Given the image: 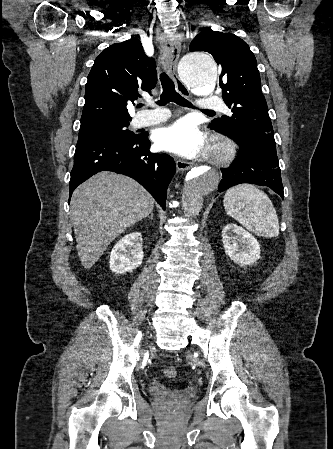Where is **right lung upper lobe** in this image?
<instances>
[{
	"instance_id": "obj_1",
	"label": "right lung upper lobe",
	"mask_w": 333,
	"mask_h": 449,
	"mask_svg": "<svg viewBox=\"0 0 333 449\" xmlns=\"http://www.w3.org/2000/svg\"><path fill=\"white\" fill-rule=\"evenodd\" d=\"M157 82L155 61L138 39L109 46L96 58L88 75L80 128L131 121L127 104L150 92Z\"/></svg>"
}]
</instances>
